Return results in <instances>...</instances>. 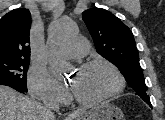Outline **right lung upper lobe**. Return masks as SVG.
<instances>
[{
	"instance_id": "cb5924a9",
	"label": "right lung upper lobe",
	"mask_w": 165,
	"mask_h": 120,
	"mask_svg": "<svg viewBox=\"0 0 165 120\" xmlns=\"http://www.w3.org/2000/svg\"><path fill=\"white\" fill-rule=\"evenodd\" d=\"M31 14L24 8L14 9L0 20V58L30 59L29 32Z\"/></svg>"
}]
</instances>
